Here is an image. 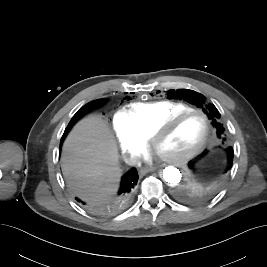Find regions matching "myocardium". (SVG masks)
Returning a JSON list of instances; mask_svg holds the SVG:
<instances>
[{
  "mask_svg": "<svg viewBox=\"0 0 267 267\" xmlns=\"http://www.w3.org/2000/svg\"><path fill=\"white\" fill-rule=\"evenodd\" d=\"M192 114L200 115L204 119V122H205L204 136L198 142V144H196L193 148L189 149L188 151L174 154L171 156H163V158L166 161L171 162V163H184L190 160L191 158L195 157L196 155H198L206 147L209 136H210V132H211V122H210L208 115L205 112H203L202 110L193 109V108L175 113L171 115L170 117H168L164 122H162L155 129V131L150 137L151 146L153 147V149L157 150V146H158L160 139L164 135H166L169 132V130L174 125H176L180 120Z\"/></svg>",
  "mask_w": 267,
  "mask_h": 267,
  "instance_id": "obj_1",
  "label": "myocardium"
}]
</instances>
